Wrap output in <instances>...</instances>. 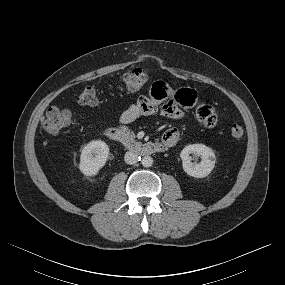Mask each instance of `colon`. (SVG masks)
I'll return each instance as SVG.
<instances>
[{"instance_id":"1","label":"colon","mask_w":285,"mask_h":285,"mask_svg":"<svg viewBox=\"0 0 285 285\" xmlns=\"http://www.w3.org/2000/svg\"><path fill=\"white\" fill-rule=\"evenodd\" d=\"M150 82V78L141 69H133L124 73L122 83L127 92H134ZM162 82V81H161ZM80 105L97 108L100 104L97 90L92 86L85 87L77 97ZM74 121L71 111L51 107L47 110L42 122V127L48 134H58ZM229 136L234 140H241L244 136V128L240 124H231L228 128Z\"/></svg>"}]
</instances>
